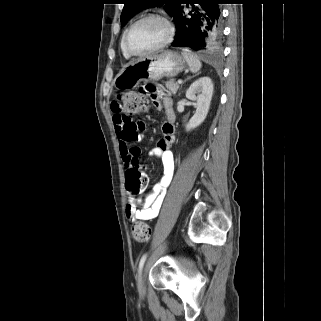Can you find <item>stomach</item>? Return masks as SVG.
Listing matches in <instances>:
<instances>
[{"label":"stomach","mask_w":321,"mask_h":321,"mask_svg":"<svg viewBox=\"0 0 321 321\" xmlns=\"http://www.w3.org/2000/svg\"><path fill=\"white\" fill-rule=\"evenodd\" d=\"M186 67V60L175 51H164L157 55L143 57L124 67L116 76L114 86L118 90L135 88L141 81H158L172 78Z\"/></svg>","instance_id":"1"}]
</instances>
